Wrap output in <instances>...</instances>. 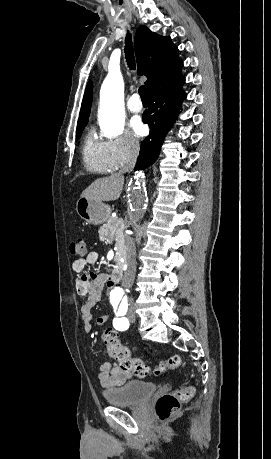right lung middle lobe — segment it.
Wrapping results in <instances>:
<instances>
[{
	"instance_id": "right-lung-middle-lobe-1",
	"label": "right lung middle lobe",
	"mask_w": 271,
	"mask_h": 459,
	"mask_svg": "<svg viewBox=\"0 0 271 459\" xmlns=\"http://www.w3.org/2000/svg\"><path fill=\"white\" fill-rule=\"evenodd\" d=\"M87 120L79 121L77 125L76 138L79 139L82 133V130L86 126Z\"/></svg>"
}]
</instances>
